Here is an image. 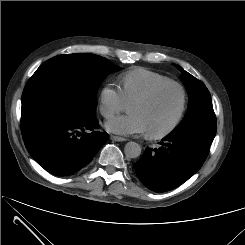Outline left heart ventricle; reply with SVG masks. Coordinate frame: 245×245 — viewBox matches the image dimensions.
I'll list each match as a JSON object with an SVG mask.
<instances>
[{
	"label": "left heart ventricle",
	"instance_id": "b2bd125f",
	"mask_svg": "<svg viewBox=\"0 0 245 245\" xmlns=\"http://www.w3.org/2000/svg\"><path fill=\"white\" fill-rule=\"evenodd\" d=\"M181 102L177 89L161 91L152 100L145 103H130L128 112L135 113L142 119L146 131L157 132L166 128L174 120Z\"/></svg>",
	"mask_w": 245,
	"mask_h": 245
}]
</instances>
